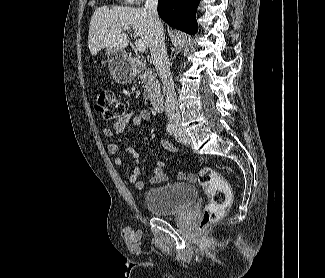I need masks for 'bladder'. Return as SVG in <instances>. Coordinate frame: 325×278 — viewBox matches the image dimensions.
I'll list each match as a JSON object with an SVG mask.
<instances>
[{
  "mask_svg": "<svg viewBox=\"0 0 325 278\" xmlns=\"http://www.w3.org/2000/svg\"><path fill=\"white\" fill-rule=\"evenodd\" d=\"M196 199L197 190L193 184L175 182L149 189L144 203L154 216H168L184 211Z\"/></svg>",
  "mask_w": 325,
  "mask_h": 278,
  "instance_id": "31cf9c89",
  "label": "bladder"
}]
</instances>
